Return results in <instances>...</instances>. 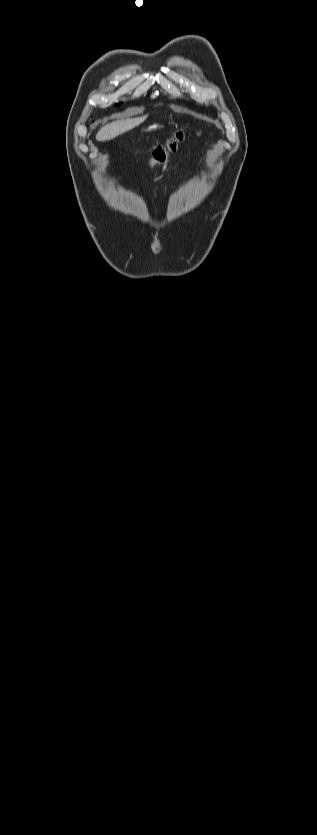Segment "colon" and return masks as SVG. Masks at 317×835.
Returning <instances> with one entry per match:
<instances>
[{
  "label": "colon",
  "instance_id": "obj_1",
  "mask_svg": "<svg viewBox=\"0 0 317 835\" xmlns=\"http://www.w3.org/2000/svg\"><path fill=\"white\" fill-rule=\"evenodd\" d=\"M190 134L186 131H179L175 137L170 139L165 145H158L154 148L148 165L151 168H157L165 165L173 154H175L181 145L189 138Z\"/></svg>",
  "mask_w": 317,
  "mask_h": 835
}]
</instances>
